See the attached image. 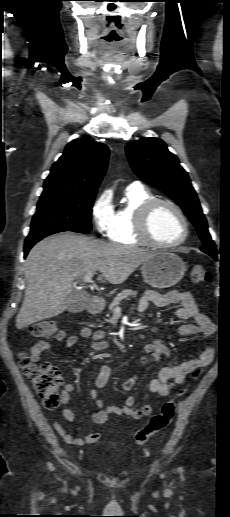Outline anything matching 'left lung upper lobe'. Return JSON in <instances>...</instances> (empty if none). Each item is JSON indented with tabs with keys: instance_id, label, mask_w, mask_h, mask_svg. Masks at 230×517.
Masks as SVG:
<instances>
[{
	"instance_id": "5c2ea615",
	"label": "left lung upper lobe",
	"mask_w": 230,
	"mask_h": 517,
	"mask_svg": "<svg viewBox=\"0 0 230 517\" xmlns=\"http://www.w3.org/2000/svg\"><path fill=\"white\" fill-rule=\"evenodd\" d=\"M126 153L137 176L163 191L183 209L203 241L201 250L217 259L216 246L208 232L197 194L187 172L166 144L159 138H142L129 142Z\"/></svg>"
}]
</instances>
